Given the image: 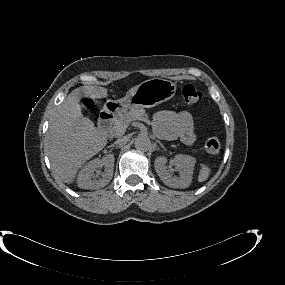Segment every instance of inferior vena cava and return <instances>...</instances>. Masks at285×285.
I'll return each instance as SVG.
<instances>
[{
  "instance_id": "602c4592",
  "label": "inferior vena cava",
  "mask_w": 285,
  "mask_h": 285,
  "mask_svg": "<svg viewBox=\"0 0 285 285\" xmlns=\"http://www.w3.org/2000/svg\"><path fill=\"white\" fill-rule=\"evenodd\" d=\"M127 142V138L126 137H122L119 138L115 141L116 144L121 145V144H125Z\"/></svg>"
}]
</instances>
